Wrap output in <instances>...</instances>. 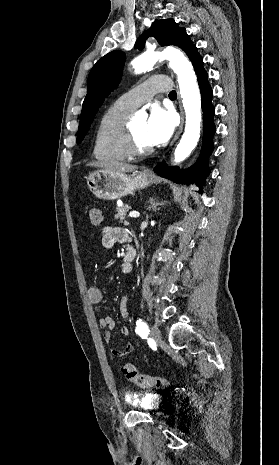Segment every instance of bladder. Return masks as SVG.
Returning <instances> with one entry per match:
<instances>
[{
  "instance_id": "31cf9c89",
  "label": "bladder",
  "mask_w": 279,
  "mask_h": 465,
  "mask_svg": "<svg viewBox=\"0 0 279 465\" xmlns=\"http://www.w3.org/2000/svg\"><path fill=\"white\" fill-rule=\"evenodd\" d=\"M163 402V397L156 393H144L132 399V404L143 411L157 410Z\"/></svg>"
}]
</instances>
